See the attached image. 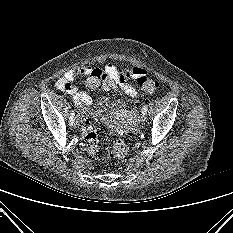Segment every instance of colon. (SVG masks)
Masks as SVG:
<instances>
[{"mask_svg":"<svg viewBox=\"0 0 233 233\" xmlns=\"http://www.w3.org/2000/svg\"><path fill=\"white\" fill-rule=\"evenodd\" d=\"M106 81V74L101 69L95 68L86 79V87L89 90H96ZM135 81L142 90L149 94L154 93L158 88V83L146 75L139 76ZM83 138L88 154L96 158L99 151V139L94 126L89 120H86L83 126ZM129 151L130 146L125 141L118 140L112 148L110 158L123 159L128 155Z\"/></svg>","mask_w":233,"mask_h":233,"instance_id":"5ec220e1","label":"colon"}]
</instances>
